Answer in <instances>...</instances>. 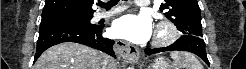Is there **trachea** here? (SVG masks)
I'll return each instance as SVG.
<instances>
[{"mask_svg":"<svg viewBox=\"0 0 246 69\" xmlns=\"http://www.w3.org/2000/svg\"><path fill=\"white\" fill-rule=\"evenodd\" d=\"M119 2V0H110L107 3L104 2H99L98 5L100 7L106 8L107 10H109L111 7H113L114 5H116Z\"/></svg>","mask_w":246,"mask_h":69,"instance_id":"obj_1","label":"trachea"}]
</instances>
